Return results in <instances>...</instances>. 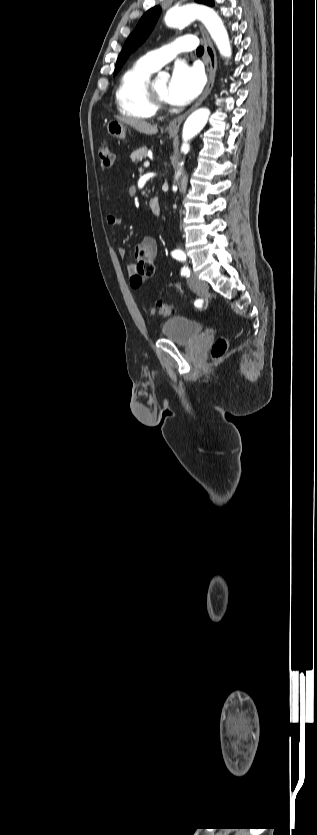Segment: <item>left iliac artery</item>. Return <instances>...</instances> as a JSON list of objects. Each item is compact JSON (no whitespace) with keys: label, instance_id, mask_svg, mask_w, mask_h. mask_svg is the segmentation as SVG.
I'll use <instances>...</instances> for the list:
<instances>
[{"label":"left iliac artery","instance_id":"left-iliac-artery-1","mask_svg":"<svg viewBox=\"0 0 317 835\" xmlns=\"http://www.w3.org/2000/svg\"><path fill=\"white\" fill-rule=\"evenodd\" d=\"M172 256H173L175 259H177V260H179V261H182V262H184V261L186 260L185 253H184L182 250H180V249H176V250H174V251L172 252ZM181 274H182V275H184V276H189V275H190V272H189V270H188V267L184 266V267L182 268V270H181Z\"/></svg>","mask_w":317,"mask_h":835}]
</instances>
